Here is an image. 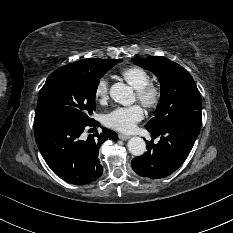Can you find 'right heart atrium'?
<instances>
[{
  "label": "right heart atrium",
  "mask_w": 233,
  "mask_h": 233,
  "mask_svg": "<svg viewBox=\"0 0 233 233\" xmlns=\"http://www.w3.org/2000/svg\"><path fill=\"white\" fill-rule=\"evenodd\" d=\"M108 92H109V82L107 78L102 77L100 78L95 86L94 95L96 100L99 102H104L108 98Z\"/></svg>",
  "instance_id": "obj_1"
}]
</instances>
